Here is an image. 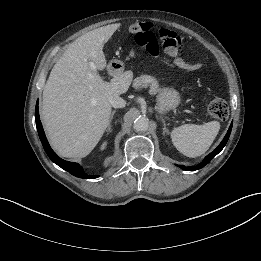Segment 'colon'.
Returning a JSON list of instances; mask_svg holds the SVG:
<instances>
[{
  "label": "colon",
  "instance_id": "colon-1",
  "mask_svg": "<svg viewBox=\"0 0 261 261\" xmlns=\"http://www.w3.org/2000/svg\"><path fill=\"white\" fill-rule=\"evenodd\" d=\"M135 42L143 47L151 56H157L159 53V43L155 34L151 31L148 23H139L131 27ZM159 36L164 50L175 57V63L185 70H197L204 66V62L190 63L178 56L181 48V40L178 35L172 31L162 29ZM209 115L216 119L225 120L229 115V107L225 99L221 97L213 98L207 107Z\"/></svg>",
  "mask_w": 261,
  "mask_h": 261
}]
</instances>
